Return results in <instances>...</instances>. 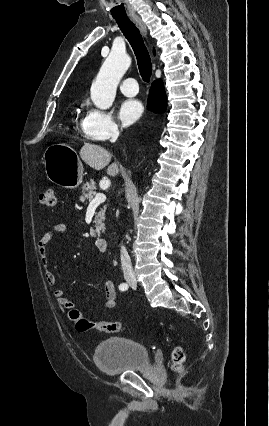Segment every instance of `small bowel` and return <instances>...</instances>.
Segmentation results:
<instances>
[{"mask_svg":"<svg viewBox=\"0 0 269 426\" xmlns=\"http://www.w3.org/2000/svg\"><path fill=\"white\" fill-rule=\"evenodd\" d=\"M68 232V226L65 223H56L51 230L47 231L38 242V253L40 262L44 269L45 279L48 284L55 286L57 283L55 275L49 270V258L47 255L48 244L59 237L64 236ZM104 298L103 308L113 309L116 305V289L113 281L107 277L103 280ZM57 304L64 309H71L74 304L69 300L62 289L56 288L53 292Z\"/></svg>","mask_w":269,"mask_h":426,"instance_id":"c3829d8e","label":"small bowel"}]
</instances>
